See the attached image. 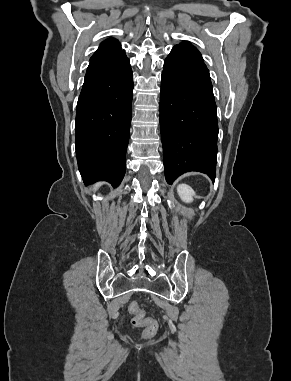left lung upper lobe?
<instances>
[{
	"label": "left lung upper lobe",
	"instance_id": "obj_1",
	"mask_svg": "<svg viewBox=\"0 0 291 381\" xmlns=\"http://www.w3.org/2000/svg\"><path fill=\"white\" fill-rule=\"evenodd\" d=\"M174 48L181 49V50L187 52L188 54H190L191 56L195 57L200 62L204 63L200 52L190 43L183 42V43H180L179 45L174 46Z\"/></svg>",
	"mask_w": 291,
	"mask_h": 381
}]
</instances>
